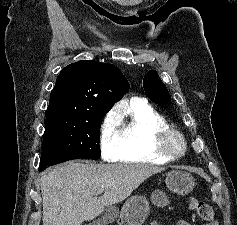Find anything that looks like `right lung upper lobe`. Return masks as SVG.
I'll return each mask as SVG.
<instances>
[{"label":"right lung upper lobe","mask_w":237,"mask_h":225,"mask_svg":"<svg viewBox=\"0 0 237 225\" xmlns=\"http://www.w3.org/2000/svg\"><path fill=\"white\" fill-rule=\"evenodd\" d=\"M128 89V81L116 66L92 60L78 61L66 66L58 75L46 119H87L107 113Z\"/></svg>","instance_id":"1"}]
</instances>
